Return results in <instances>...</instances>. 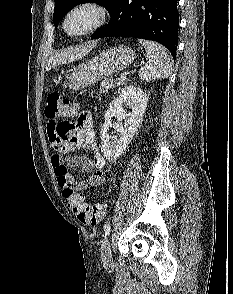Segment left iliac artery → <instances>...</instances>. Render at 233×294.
I'll return each mask as SVG.
<instances>
[{"mask_svg": "<svg viewBox=\"0 0 233 294\" xmlns=\"http://www.w3.org/2000/svg\"><path fill=\"white\" fill-rule=\"evenodd\" d=\"M110 229H111L110 224H109V223H106V224L104 225V237H105V238L109 235V233H110Z\"/></svg>", "mask_w": 233, "mask_h": 294, "instance_id": "left-iliac-artery-1", "label": "left iliac artery"}]
</instances>
